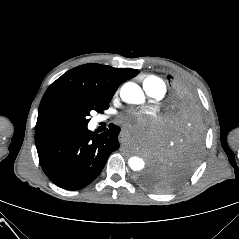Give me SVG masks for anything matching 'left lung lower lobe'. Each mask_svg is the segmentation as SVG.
Masks as SVG:
<instances>
[{
    "instance_id": "left-lung-lower-lobe-1",
    "label": "left lung lower lobe",
    "mask_w": 239,
    "mask_h": 239,
    "mask_svg": "<svg viewBox=\"0 0 239 239\" xmlns=\"http://www.w3.org/2000/svg\"><path fill=\"white\" fill-rule=\"evenodd\" d=\"M202 116H200V115H197V116H195V119H193V121L198 125H200L201 123H202V119L203 118H201ZM153 163H155V161H153Z\"/></svg>"
}]
</instances>
